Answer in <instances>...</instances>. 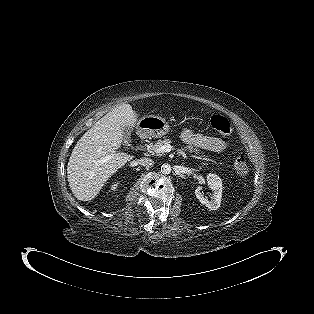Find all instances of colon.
I'll return each mask as SVG.
<instances>
[{
	"instance_id": "obj_1",
	"label": "colon",
	"mask_w": 314,
	"mask_h": 314,
	"mask_svg": "<svg viewBox=\"0 0 314 314\" xmlns=\"http://www.w3.org/2000/svg\"><path fill=\"white\" fill-rule=\"evenodd\" d=\"M210 126L215 132L224 136L229 135L232 131V125L229 120L219 114H215L211 117ZM233 167L240 175L247 174L249 168L246 157L244 155L235 156L233 159Z\"/></svg>"
}]
</instances>
